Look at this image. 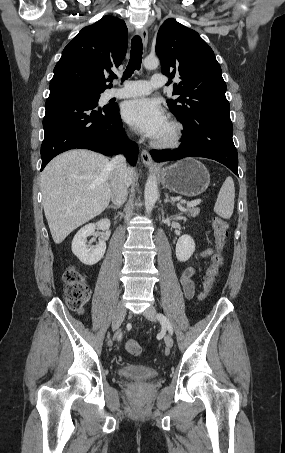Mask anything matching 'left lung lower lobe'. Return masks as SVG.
Returning <instances> with one entry per match:
<instances>
[{
	"label": "left lung lower lobe",
	"mask_w": 285,
	"mask_h": 453,
	"mask_svg": "<svg viewBox=\"0 0 285 453\" xmlns=\"http://www.w3.org/2000/svg\"><path fill=\"white\" fill-rule=\"evenodd\" d=\"M181 123L184 127L181 145L174 150L151 151L155 161L205 157L224 164L238 175V155L232 139L230 117L201 114Z\"/></svg>",
	"instance_id": "obj_1"
}]
</instances>
